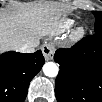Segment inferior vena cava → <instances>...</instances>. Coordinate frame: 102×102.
I'll return each mask as SVG.
<instances>
[{
  "label": "inferior vena cava",
  "instance_id": "1",
  "mask_svg": "<svg viewBox=\"0 0 102 102\" xmlns=\"http://www.w3.org/2000/svg\"><path fill=\"white\" fill-rule=\"evenodd\" d=\"M39 45V41L37 39H32L27 43L19 46L16 51L21 53H33L35 52L36 47Z\"/></svg>",
  "mask_w": 102,
  "mask_h": 102
}]
</instances>
